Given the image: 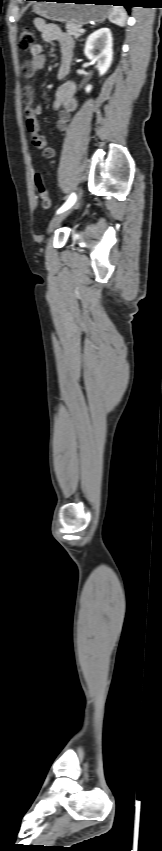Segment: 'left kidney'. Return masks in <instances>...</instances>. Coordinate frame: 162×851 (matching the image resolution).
Wrapping results in <instances>:
<instances>
[{"mask_svg": "<svg viewBox=\"0 0 162 851\" xmlns=\"http://www.w3.org/2000/svg\"><path fill=\"white\" fill-rule=\"evenodd\" d=\"M112 34L109 28H101L93 32L86 40L84 54L92 61L97 63L99 75H104L113 60L112 49ZM98 50V53L96 52ZM92 90V85H87L85 91L89 93Z\"/></svg>", "mask_w": 162, "mask_h": 851, "instance_id": "obj_1", "label": "left kidney"}]
</instances>
